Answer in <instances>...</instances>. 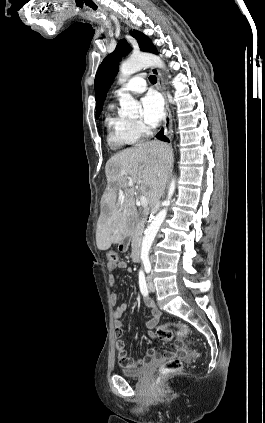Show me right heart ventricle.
Segmentation results:
<instances>
[{
	"instance_id": "right-heart-ventricle-1",
	"label": "right heart ventricle",
	"mask_w": 265,
	"mask_h": 423,
	"mask_svg": "<svg viewBox=\"0 0 265 423\" xmlns=\"http://www.w3.org/2000/svg\"><path fill=\"white\" fill-rule=\"evenodd\" d=\"M107 139L112 147L132 146L138 142L137 133L132 120L115 113L114 105L110 104L105 117Z\"/></svg>"
}]
</instances>
